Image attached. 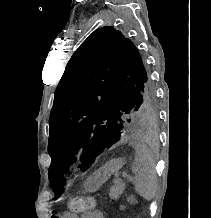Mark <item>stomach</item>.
<instances>
[{
  "label": "stomach",
  "mask_w": 211,
  "mask_h": 218,
  "mask_svg": "<svg viewBox=\"0 0 211 218\" xmlns=\"http://www.w3.org/2000/svg\"><path fill=\"white\" fill-rule=\"evenodd\" d=\"M123 166L122 159H112L103 165L100 169L95 171L91 176H89L84 184L85 190L87 192H93L100 188V186L105 183L109 177L117 172Z\"/></svg>",
  "instance_id": "1"
}]
</instances>
